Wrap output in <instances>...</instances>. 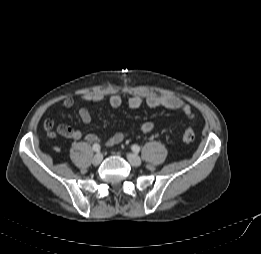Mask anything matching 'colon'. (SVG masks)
I'll return each mask as SVG.
<instances>
[{"label":"colon","mask_w":261,"mask_h":254,"mask_svg":"<svg viewBox=\"0 0 261 254\" xmlns=\"http://www.w3.org/2000/svg\"><path fill=\"white\" fill-rule=\"evenodd\" d=\"M195 139V133L194 131L190 128L187 127L185 128L184 132H183V140L187 143L192 142Z\"/></svg>","instance_id":"colon-1"}]
</instances>
